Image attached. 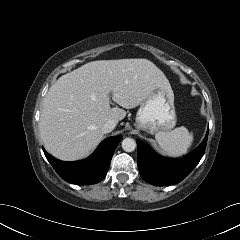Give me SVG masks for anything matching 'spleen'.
<instances>
[{
  "label": "spleen",
  "instance_id": "3e777b00",
  "mask_svg": "<svg viewBox=\"0 0 240 240\" xmlns=\"http://www.w3.org/2000/svg\"><path fill=\"white\" fill-rule=\"evenodd\" d=\"M155 139L161 151L170 157H181L187 154L194 141V135L184 126L170 132H158Z\"/></svg>",
  "mask_w": 240,
  "mask_h": 240
}]
</instances>
